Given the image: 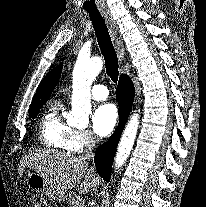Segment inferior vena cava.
<instances>
[{
  "instance_id": "1",
  "label": "inferior vena cava",
  "mask_w": 206,
  "mask_h": 207,
  "mask_svg": "<svg viewBox=\"0 0 206 207\" xmlns=\"http://www.w3.org/2000/svg\"><path fill=\"white\" fill-rule=\"evenodd\" d=\"M95 144H96L95 136L90 135L87 138V141L85 142L84 153L80 157L83 161L94 159L93 149L95 147ZM91 170L94 171V167H91Z\"/></svg>"
}]
</instances>
